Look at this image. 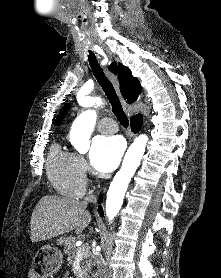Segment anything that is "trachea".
<instances>
[{"instance_id":"3493384b","label":"trachea","mask_w":221,"mask_h":278,"mask_svg":"<svg viewBox=\"0 0 221 278\" xmlns=\"http://www.w3.org/2000/svg\"><path fill=\"white\" fill-rule=\"evenodd\" d=\"M88 52H89L88 61H89L92 72H93L97 82L102 87L103 91L105 92V95L107 96V98L112 106L113 113L116 116L117 120L120 122V124L123 127L127 128L129 125V120L123 111L122 105L120 103V100L116 94V91H115L112 83L105 76V73H104L103 69L99 66L94 53L90 50Z\"/></svg>"}]
</instances>
